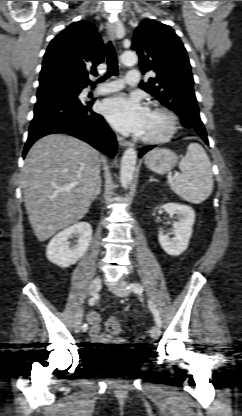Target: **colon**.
Instances as JSON below:
<instances>
[{
  "label": "colon",
  "instance_id": "5ec220e1",
  "mask_svg": "<svg viewBox=\"0 0 242 416\" xmlns=\"http://www.w3.org/2000/svg\"><path fill=\"white\" fill-rule=\"evenodd\" d=\"M105 328L107 332L111 335H118L123 330V325L121 321L115 317H110L105 323Z\"/></svg>",
  "mask_w": 242,
  "mask_h": 416
}]
</instances>
